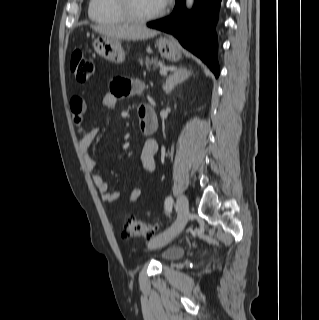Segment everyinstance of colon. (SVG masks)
<instances>
[{
    "mask_svg": "<svg viewBox=\"0 0 319 320\" xmlns=\"http://www.w3.org/2000/svg\"><path fill=\"white\" fill-rule=\"evenodd\" d=\"M71 70L80 83L89 80L94 72L92 60L81 50H75L71 56ZM158 229L156 222H145L135 217H128L124 223L122 236L126 239L134 237L152 238Z\"/></svg>",
    "mask_w": 319,
    "mask_h": 320,
    "instance_id": "obj_1",
    "label": "colon"
}]
</instances>
